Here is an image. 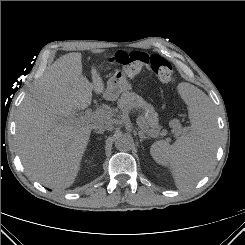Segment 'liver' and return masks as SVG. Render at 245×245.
Returning a JSON list of instances; mask_svg holds the SVG:
<instances>
[{
	"mask_svg": "<svg viewBox=\"0 0 245 245\" xmlns=\"http://www.w3.org/2000/svg\"><path fill=\"white\" fill-rule=\"evenodd\" d=\"M81 60L79 52L57 59L26 95L17 115L15 139L22 164L49 188L65 189L74 183L93 125L102 124L73 118L91 104L92 91L106 92L95 67L92 82L82 74Z\"/></svg>",
	"mask_w": 245,
	"mask_h": 245,
	"instance_id": "obj_1",
	"label": "liver"
}]
</instances>
